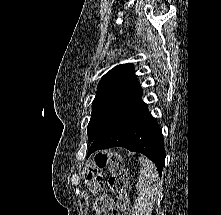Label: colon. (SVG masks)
<instances>
[{
	"mask_svg": "<svg viewBox=\"0 0 221 215\" xmlns=\"http://www.w3.org/2000/svg\"><path fill=\"white\" fill-rule=\"evenodd\" d=\"M108 167L111 172L109 187L115 194L110 198L104 193L103 170ZM85 182L94 196L93 211L95 215H130L129 196L127 192V175L117 153H97L92 158L85 176Z\"/></svg>",
	"mask_w": 221,
	"mask_h": 215,
	"instance_id": "colon-1",
	"label": "colon"
}]
</instances>
